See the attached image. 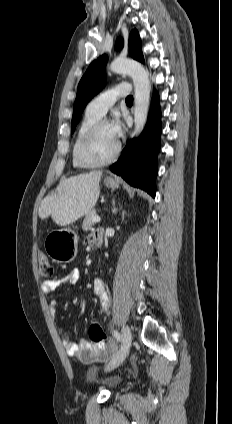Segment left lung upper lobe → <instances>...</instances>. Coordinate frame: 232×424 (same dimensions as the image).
I'll return each instance as SVG.
<instances>
[{"mask_svg": "<svg viewBox=\"0 0 232 424\" xmlns=\"http://www.w3.org/2000/svg\"><path fill=\"white\" fill-rule=\"evenodd\" d=\"M128 45L132 58L143 63L144 58L141 51V39L136 29L131 31ZM122 47L123 39L118 38L116 48L121 49ZM107 61L108 57L106 55H102L93 61L79 82L77 96L73 107L71 125L72 133L74 132L87 103L94 97L95 94L99 93L104 86L106 79L105 67Z\"/></svg>", "mask_w": 232, "mask_h": 424, "instance_id": "1", "label": "left lung upper lobe"}]
</instances>
